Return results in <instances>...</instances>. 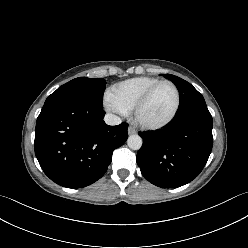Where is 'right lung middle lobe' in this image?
Listing matches in <instances>:
<instances>
[{
    "label": "right lung middle lobe",
    "instance_id": "right-lung-middle-lobe-1",
    "mask_svg": "<svg viewBox=\"0 0 248 248\" xmlns=\"http://www.w3.org/2000/svg\"><path fill=\"white\" fill-rule=\"evenodd\" d=\"M105 84V80L102 78L79 77L59 87L46 99L45 103L58 99L75 98L102 107Z\"/></svg>",
    "mask_w": 248,
    "mask_h": 248
}]
</instances>
